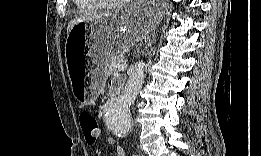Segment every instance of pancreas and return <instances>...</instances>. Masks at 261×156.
Segmentation results:
<instances>
[{"mask_svg":"<svg viewBox=\"0 0 261 156\" xmlns=\"http://www.w3.org/2000/svg\"><path fill=\"white\" fill-rule=\"evenodd\" d=\"M125 61V54L123 52H114L105 62L102 71L104 76L111 75L119 71L117 66Z\"/></svg>","mask_w":261,"mask_h":156,"instance_id":"cf45deb5","label":"pancreas"}]
</instances>
